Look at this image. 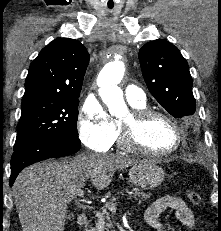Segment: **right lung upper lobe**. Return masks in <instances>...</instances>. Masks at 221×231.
<instances>
[{
	"instance_id": "cb5924a9",
	"label": "right lung upper lobe",
	"mask_w": 221,
	"mask_h": 231,
	"mask_svg": "<svg viewBox=\"0 0 221 231\" xmlns=\"http://www.w3.org/2000/svg\"><path fill=\"white\" fill-rule=\"evenodd\" d=\"M88 63L89 53L78 40L56 38L30 64L22 100L79 97Z\"/></svg>"
}]
</instances>
